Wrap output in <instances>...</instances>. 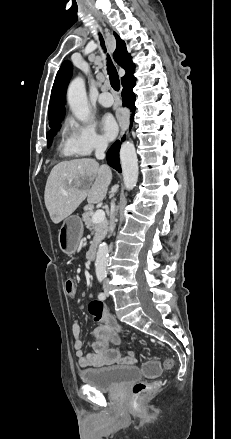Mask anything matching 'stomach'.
I'll list each match as a JSON object with an SVG mask.
<instances>
[{
    "mask_svg": "<svg viewBox=\"0 0 231 439\" xmlns=\"http://www.w3.org/2000/svg\"><path fill=\"white\" fill-rule=\"evenodd\" d=\"M83 235V223L78 216L67 217L58 234L59 247L67 255L76 252Z\"/></svg>",
    "mask_w": 231,
    "mask_h": 439,
    "instance_id": "0dacf381",
    "label": "stomach"
}]
</instances>
